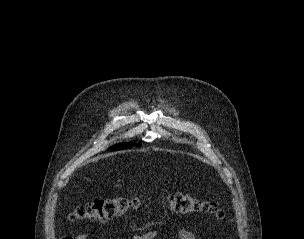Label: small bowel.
Returning <instances> with one entry per match:
<instances>
[{
  "label": "small bowel",
  "mask_w": 304,
  "mask_h": 239,
  "mask_svg": "<svg viewBox=\"0 0 304 239\" xmlns=\"http://www.w3.org/2000/svg\"><path fill=\"white\" fill-rule=\"evenodd\" d=\"M89 237H90V233L84 232L78 234L75 237L68 236V237H62L60 239H89ZM155 237H156L155 231H148L142 235L135 236V239H153ZM177 237L178 239H201L196 233L186 228L179 229L177 232Z\"/></svg>",
  "instance_id": "obj_1"
}]
</instances>
